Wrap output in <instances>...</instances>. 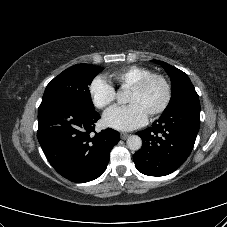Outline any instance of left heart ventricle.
<instances>
[{"label": "left heart ventricle", "instance_id": "1", "mask_svg": "<svg viewBox=\"0 0 227 227\" xmlns=\"http://www.w3.org/2000/svg\"><path fill=\"white\" fill-rule=\"evenodd\" d=\"M165 97V89L161 81L153 80L143 91L131 90L129 103L139 104L147 114L158 108Z\"/></svg>", "mask_w": 227, "mask_h": 227}]
</instances>
